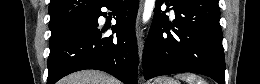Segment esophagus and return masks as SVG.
<instances>
[{
	"label": "esophagus",
	"instance_id": "34e87169",
	"mask_svg": "<svg viewBox=\"0 0 260 84\" xmlns=\"http://www.w3.org/2000/svg\"><path fill=\"white\" fill-rule=\"evenodd\" d=\"M141 5L138 11V15H137V20H136V37H137V43H138V54H139V59L141 61L142 58V50H143V31L140 27V14H141V10H142V3L143 0L140 1Z\"/></svg>",
	"mask_w": 260,
	"mask_h": 84
}]
</instances>
